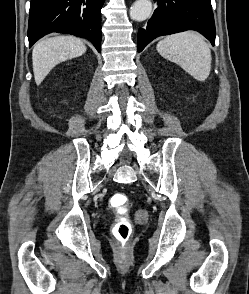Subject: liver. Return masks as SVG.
<instances>
[{
    "label": "liver",
    "mask_w": 249,
    "mask_h": 294,
    "mask_svg": "<svg viewBox=\"0 0 249 294\" xmlns=\"http://www.w3.org/2000/svg\"><path fill=\"white\" fill-rule=\"evenodd\" d=\"M86 52L83 42L73 36H55L42 39L32 51L34 78L40 85L59 63L81 56Z\"/></svg>",
    "instance_id": "6515ba94"
}]
</instances>
